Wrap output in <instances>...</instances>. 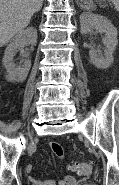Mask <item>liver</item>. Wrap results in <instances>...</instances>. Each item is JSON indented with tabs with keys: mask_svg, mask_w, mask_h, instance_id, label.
<instances>
[{
	"mask_svg": "<svg viewBox=\"0 0 119 185\" xmlns=\"http://www.w3.org/2000/svg\"><path fill=\"white\" fill-rule=\"evenodd\" d=\"M43 0H0V47L26 28Z\"/></svg>",
	"mask_w": 119,
	"mask_h": 185,
	"instance_id": "6515ba94",
	"label": "liver"
}]
</instances>
